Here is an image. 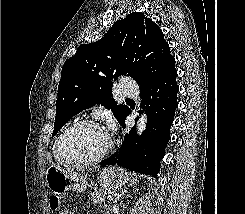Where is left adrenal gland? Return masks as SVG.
<instances>
[{
  "instance_id": "a2214340",
  "label": "left adrenal gland",
  "mask_w": 245,
  "mask_h": 214,
  "mask_svg": "<svg viewBox=\"0 0 245 214\" xmlns=\"http://www.w3.org/2000/svg\"><path fill=\"white\" fill-rule=\"evenodd\" d=\"M133 184H134V183L132 182V183H130L127 187H124V189H122V190L118 193L117 197L115 198L114 203H117V202L119 201V199L122 197V195H124V193L127 192L128 187L132 186Z\"/></svg>"
}]
</instances>
